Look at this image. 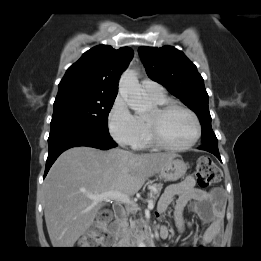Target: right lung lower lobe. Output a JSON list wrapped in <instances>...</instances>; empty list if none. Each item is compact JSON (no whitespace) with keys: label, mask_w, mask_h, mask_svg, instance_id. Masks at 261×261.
<instances>
[{"label":"right lung lower lobe","mask_w":261,"mask_h":261,"mask_svg":"<svg viewBox=\"0 0 261 261\" xmlns=\"http://www.w3.org/2000/svg\"><path fill=\"white\" fill-rule=\"evenodd\" d=\"M48 145L49 154L46 161L44 177L58 156L71 147L88 146L107 150L117 146L109 133L86 127L50 132Z\"/></svg>","instance_id":"1"}]
</instances>
